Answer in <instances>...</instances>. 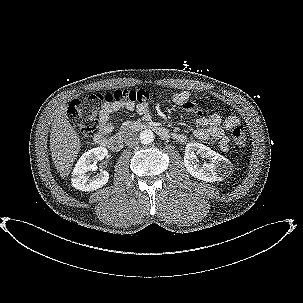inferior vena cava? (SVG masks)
Wrapping results in <instances>:
<instances>
[{
  "label": "inferior vena cava",
  "instance_id": "inferior-vena-cava-1",
  "mask_svg": "<svg viewBox=\"0 0 303 303\" xmlns=\"http://www.w3.org/2000/svg\"><path fill=\"white\" fill-rule=\"evenodd\" d=\"M139 138L136 133L134 132H128L125 136V143L128 147H135L138 145Z\"/></svg>",
  "mask_w": 303,
  "mask_h": 303
}]
</instances>
